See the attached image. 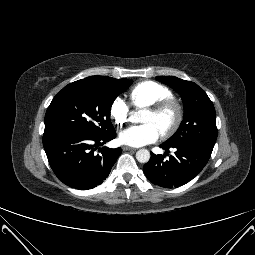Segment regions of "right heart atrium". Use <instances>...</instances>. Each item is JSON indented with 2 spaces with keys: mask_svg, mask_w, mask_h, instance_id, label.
<instances>
[{
  "mask_svg": "<svg viewBox=\"0 0 255 255\" xmlns=\"http://www.w3.org/2000/svg\"><path fill=\"white\" fill-rule=\"evenodd\" d=\"M110 117L113 122L122 127L129 121L130 118V109L128 104L120 97L115 98L109 109Z\"/></svg>",
  "mask_w": 255,
  "mask_h": 255,
  "instance_id": "1",
  "label": "right heart atrium"
}]
</instances>
